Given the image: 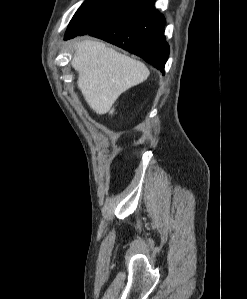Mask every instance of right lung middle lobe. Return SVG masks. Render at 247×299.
Instances as JSON below:
<instances>
[{"mask_svg": "<svg viewBox=\"0 0 247 299\" xmlns=\"http://www.w3.org/2000/svg\"><path fill=\"white\" fill-rule=\"evenodd\" d=\"M136 0H86L69 23L67 37L84 35L122 16Z\"/></svg>", "mask_w": 247, "mask_h": 299, "instance_id": "obj_1", "label": "right lung middle lobe"}]
</instances>
